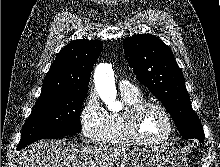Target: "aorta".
<instances>
[{
    "mask_svg": "<svg viewBox=\"0 0 220 167\" xmlns=\"http://www.w3.org/2000/svg\"><path fill=\"white\" fill-rule=\"evenodd\" d=\"M94 82L97 92L109 110L121 108V103L116 100L117 91L114 74L110 65L99 64L95 70Z\"/></svg>",
    "mask_w": 220,
    "mask_h": 167,
    "instance_id": "762f6f07",
    "label": "aorta"
}]
</instances>
